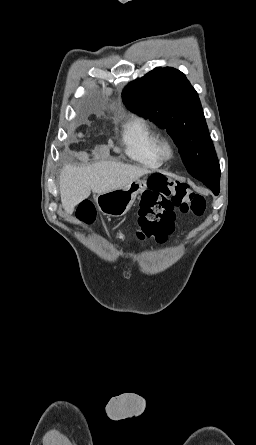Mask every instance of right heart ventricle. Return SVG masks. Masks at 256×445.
Segmentation results:
<instances>
[{
  "mask_svg": "<svg viewBox=\"0 0 256 445\" xmlns=\"http://www.w3.org/2000/svg\"><path fill=\"white\" fill-rule=\"evenodd\" d=\"M122 141L126 154L149 167H159L163 158L159 152L160 136L142 117H134L123 127Z\"/></svg>",
  "mask_w": 256,
  "mask_h": 445,
  "instance_id": "obj_1",
  "label": "right heart ventricle"
}]
</instances>
